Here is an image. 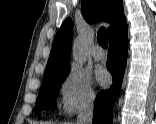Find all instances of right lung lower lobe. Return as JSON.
Segmentation results:
<instances>
[{"mask_svg":"<svg viewBox=\"0 0 156 124\" xmlns=\"http://www.w3.org/2000/svg\"><path fill=\"white\" fill-rule=\"evenodd\" d=\"M127 58V29L110 39L107 68L113 77L110 89L101 91L94 108L93 124H112V111L122 85Z\"/></svg>","mask_w":156,"mask_h":124,"instance_id":"98d812e1","label":"right lung lower lobe"}]
</instances>
